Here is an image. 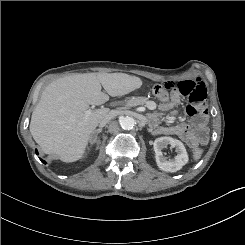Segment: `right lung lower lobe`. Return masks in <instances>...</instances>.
<instances>
[{
  "label": "right lung lower lobe",
  "instance_id": "right-lung-lower-lobe-1",
  "mask_svg": "<svg viewBox=\"0 0 245 245\" xmlns=\"http://www.w3.org/2000/svg\"><path fill=\"white\" fill-rule=\"evenodd\" d=\"M43 163H46L44 160H41Z\"/></svg>",
  "mask_w": 245,
  "mask_h": 245
}]
</instances>
